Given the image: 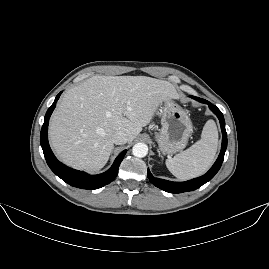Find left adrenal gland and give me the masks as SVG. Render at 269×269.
<instances>
[{
    "label": "left adrenal gland",
    "instance_id": "1",
    "mask_svg": "<svg viewBox=\"0 0 269 269\" xmlns=\"http://www.w3.org/2000/svg\"><path fill=\"white\" fill-rule=\"evenodd\" d=\"M157 152H158V155H159V156H161V153H160V151H159V150H157Z\"/></svg>",
    "mask_w": 269,
    "mask_h": 269
}]
</instances>
